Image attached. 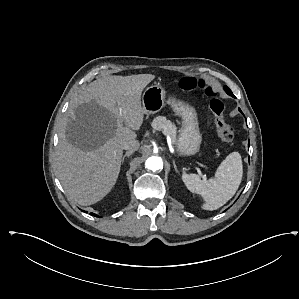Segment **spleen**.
<instances>
[{"instance_id": "obj_1", "label": "spleen", "mask_w": 299, "mask_h": 299, "mask_svg": "<svg viewBox=\"0 0 299 299\" xmlns=\"http://www.w3.org/2000/svg\"><path fill=\"white\" fill-rule=\"evenodd\" d=\"M241 155L230 153L216 170L215 178L201 180L196 174H183L182 180L189 191L205 201L202 208L216 210L226 204L236 193L242 180Z\"/></svg>"}]
</instances>
